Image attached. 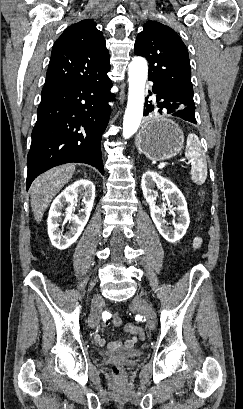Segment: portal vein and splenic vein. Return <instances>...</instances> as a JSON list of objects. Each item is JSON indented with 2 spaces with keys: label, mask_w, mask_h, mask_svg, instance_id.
Instances as JSON below:
<instances>
[{
  "label": "portal vein and splenic vein",
  "mask_w": 243,
  "mask_h": 409,
  "mask_svg": "<svg viewBox=\"0 0 243 409\" xmlns=\"http://www.w3.org/2000/svg\"><path fill=\"white\" fill-rule=\"evenodd\" d=\"M165 165H166V163L165 162H162V163H160L159 165H158V168H164L165 167Z\"/></svg>",
  "instance_id": "18ae733b"
}]
</instances>
